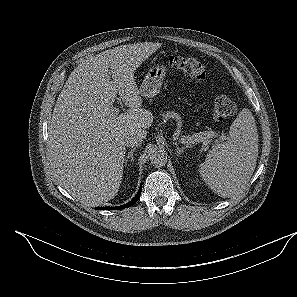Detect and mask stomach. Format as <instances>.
I'll return each instance as SVG.
<instances>
[{
  "label": "stomach",
  "mask_w": 297,
  "mask_h": 297,
  "mask_svg": "<svg viewBox=\"0 0 297 297\" xmlns=\"http://www.w3.org/2000/svg\"><path fill=\"white\" fill-rule=\"evenodd\" d=\"M167 70V66L163 63L151 67L140 86V94L146 98L156 96L160 91Z\"/></svg>",
  "instance_id": "obj_1"
}]
</instances>
